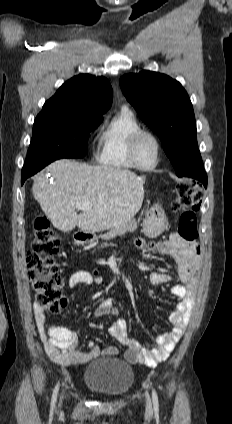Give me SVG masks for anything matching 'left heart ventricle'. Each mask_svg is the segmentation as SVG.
Wrapping results in <instances>:
<instances>
[{"label":"left heart ventricle","mask_w":232,"mask_h":424,"mask_svg":"<svg viewBox=\"0 0 232 424\" xmlns=\"http://www.w3.org/2000/svg\"><path fill=\"white\" fill-rule=\"evenodd\" d=\"M136 158L143 166L151 165L156 157V144L149 136L142 137L136 146Z\"/></svg>","instance_id":"obj_1"}]
</instances>
